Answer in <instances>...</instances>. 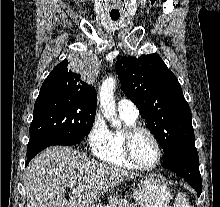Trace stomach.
Segmentation results:
<instances>
[{"instance_id":"obj_1","label":"stomach","mask_w":220,"mask_h":207,"mask_svg":"<svg viewBox=\"0 0 220 207\" xmlns=\"http://www.w3.org/2000/svg\"><path fill=\"white\" fill-rule=\"evenodd\" d=\"M133 196L140 207H169L172 199L170 188L165 180L155 175L141 179L134 189Z\"/></svg>"}]
</instances>
